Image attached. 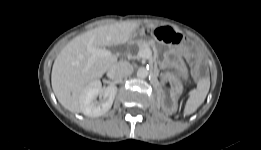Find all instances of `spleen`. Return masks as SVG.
Wrapping results in <instances>:
<instances>
[{
    "mask_svg": "<svg viewBox=\"0 0 261 150\" xmlns=\"http://www.w3.org/2000/svg\"><path fill=\"white\" fill-rule=\"evenodd\" d=\"M210 88V80L208 78L201 79L195 90L190 93L184 108V116L194 113L198 107L204 102Z\"/></svg>",
    "mask_w": 261,
    "mask_h": 150,
    "instance_id": "3e777b00",
    "label": "spleen"
}]
</instances>
